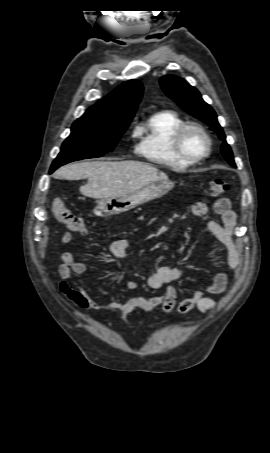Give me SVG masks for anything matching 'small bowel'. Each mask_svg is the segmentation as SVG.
<instances>
[{"label":"small bowel","mask_w":270,"mask_h":453,"mask_svg":"<svg viewBox=\"0 0 270 453\" xmlns=\"http://www.w3.org/2000/svg\"><path fill=\"white\" fill-rule=\"evenodd\" d=\"M214 211L220 217V221H209L208 230L227 249L226 263L232 272H236L240 266L241 249L233 240V233L236 225V217L231 209L228 198H220L214 203ZM208 212L205 202L198 201L192 206V213L197 217H203ZM73 241V235L65 232L61 237V244L68 245ZM111 253L118 259L126 260L128 257V242L125 239H116L110 245ZM87 266L75 259L70 252L62 254V264L58 273L62 278L59 288L72 302L81 309L114 311L118 314L120 323L131 329L126 320L128 313L135 309H142L153 312L160 308L166 314H185L194 308L206 313L217 307V302L206 294L219 295L224 293L229 284L230 278L226 272L216 273L207 284L204 291L197 290L191 297L178 301V293L171 284L185 278V272L180 267H160L147 279L150 288L161 290L159 294L148 297H133L127 301L115 299L109 304H101L95 301L82 287L78 285L74 275H83ZM139 284L135 280H129L126 288L130 291L136 290ZM95 293L101 297L112 298L113 294L107 289L93 285Z\"/></svg>","instance_id":"obj_1"}]
</instances>
